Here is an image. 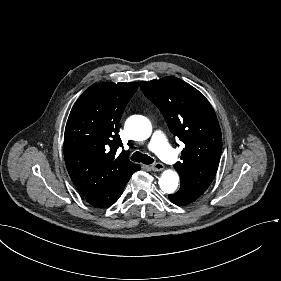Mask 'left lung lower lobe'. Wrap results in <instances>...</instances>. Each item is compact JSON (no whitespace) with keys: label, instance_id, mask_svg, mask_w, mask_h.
Returning a JSON list of instances; mask_svg holds the SVG:
<instances>
[{"label":"left lung lower lobe","instance_id":"left-lung-lower-lobe-1","mask_svg":"<svg viewBox=\"0 0 281 281\" xmlns=\"http://www.w3.org/2000/svg\"><path fill=\"white\" fill-rule=\"evenodd\" d=\"M201 195H202V193L195 191L186 185L181 184L180 189L176 193H174L172 195H168V198L174 204L187 205L189 203L194 202Z\"/></svg>","mask_w":281,"mask_h":281}]
</instances>
